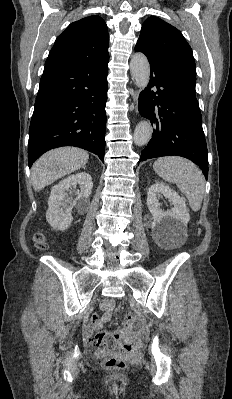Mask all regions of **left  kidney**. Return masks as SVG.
Masks as SVG:
<instances>
[{"label":"left kidney","mask_w":232,"mask_h":399,"mask_svg":"<svg viewBox=\"0 0 232 399\" xmlns=\"http://www.w3.org/2000/svg\"><path fill=\"white\" fill-rule=\"evenodd\" d=\"M168 198L172 209H160L158 198ZM147 205L153 215L152 237L158 245H181L187 239V223L190 219L186 203L164 182H155L147 192Z\"/></svg>","instance_id":"5707ae66"}]
</instances>
